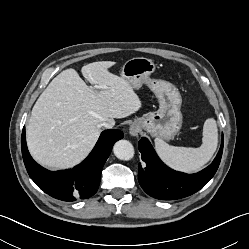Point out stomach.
Segmentation results:
<instances>
[{
    "mask_svg": "<svg viewBox=\"0 0 249 249\" xmlns=\"http://www.w3.org/2000/svg\"><path fill=\"white\" fill-rule=\"evenodd\" d=\"M155 69L156 65L151 59L136 57L124 63L121 76L135 89L147 84L159 102L157 111L137 118L133 125L147 131L153 137L170 140L182 127V98L178 89L171 83L150 78Z\"/></svg>",
    "mask_w": 249,
    "mask_h": 249,
    "instance_id": "0dacf381",
    "label": "stomach"
}]
</instances>
